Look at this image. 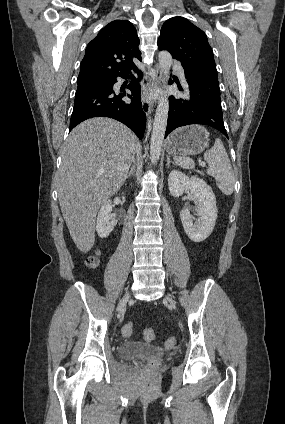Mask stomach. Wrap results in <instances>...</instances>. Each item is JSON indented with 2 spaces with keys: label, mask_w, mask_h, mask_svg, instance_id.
Here are the masks:
<instances>
[{
  "label": "stomach",
  "mask_w": 285,
  "mask_h": 424,
  "mask_svg": "<svg viewBox=\"0 0 285 424\" xmlns=\"http://www.w3.org/2000/svg\"><path fill=\"white\" fill-rule=\"evenodd\" d=\"M209 142V132L202 126L191 125L172 132L166 140V150L175 155H195L201 153Z\"/></svg>",
  "instance_id": "obj_1"
}]
</instances>
